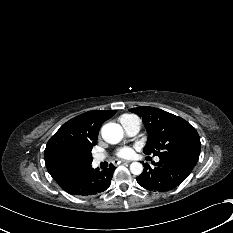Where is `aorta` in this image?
<instances>
[{
    "label": "aorta",
    "mask_w": 233,
    "mask_h": 233,
    "mask_svg": "<svg viewBox=\"0 0 233 233\" xmlns=\"http://www.w3.org/2000/svg\"><path fill=\"white\" fill-rule=\"evenodd\" d=\"M101 135L107 143L117 144L122 140L124 132L119 124L107 123L102 127ZM130 171L134 175H140L143 171V166L139 162H133L130 165Z\"/></svg>",
    "instance_id": "aorta-1"
}]
</instances>
